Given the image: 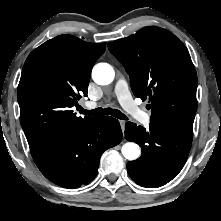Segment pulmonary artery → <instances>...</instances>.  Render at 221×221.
I'll return each instance as SVG.
<instances>
[{
    "instance_id": "e3ab8cb5",
    "label": "pulmonary artery",
    "mask_w": 221,
    "mask_h": 221,
    "mask_svg": "<svg viewBox=\"0 0 221 221\" xmlns=\"http://www.w3.org/2000/svg\"><path fill=\"white\" fill-rule=\"evenodd\" d=\"M115 94L121 106L130 113L136 120L144 125L150 122V115L143 111L132 99L128 84L125 79L120 78L115 85ZM97 105L96 102H88L87 107L92 109Z\"/></svg>"
}]
</instances>
